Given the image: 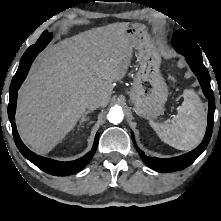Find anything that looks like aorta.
Masks as SVG:
<instances>
[{"label": "aorta", "instance_id": "762f6f07", "mask_svg": "<svg viewBox=\"0 0 221 221\" xmlns=\"http://www.w3.org/2000/svg\"><path fill=\"white\" fill-rule=\"evenodd\" d=\"M123 117H124L123 111L119 107L111 108L109 113L107 114L108 121L113 124L121 123Z\"/></svg>", "mask_w": 221, "mask_h": 221}]
</instances>
